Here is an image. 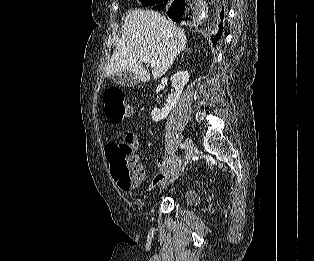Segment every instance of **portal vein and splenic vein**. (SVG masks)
<instances>
[{"label": "portal vein and splenic vein", "mask_w": 314, "mask_h": 261, "mask_svg": "<svg viewBox=\"0 0 314 261\" xmlns=\"http://www.w3.org/2000/svg\"><path fill=\"white\" fill-rule=\"evenodd\" d=\"M142 62L147 64V65H151V67H155L157 65V62L154 59H150L148 57H143L142 58Z\"/></svg>", "instance_id": "portal-vein-and-splenic-vein-1"}]
</instances>
